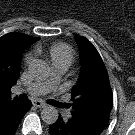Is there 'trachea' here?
Segmentation results:
<instances>
[{
  "label": "trachea",
  "instance_id": "trachea-1",
  "mask_svg": "<svg viewBox=\"0 0 135 135\" xmlns=\"http://www.w3.org/2000/svg\"><path fill=\"white\" fill-rule=\"evenodd\" d=\"M19 97H20L21 100H26L27 99V95H25V94H21ZM52 105H54V106H61V104H59L56 101H53Z\"/></svg>",
  "mask_w": 135,
  "mask_h": 135
}]
</instances>
